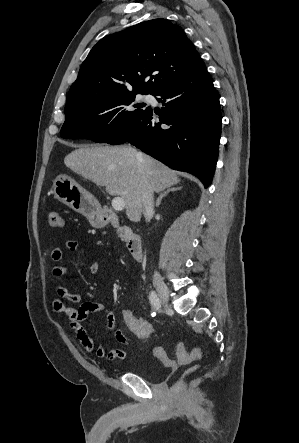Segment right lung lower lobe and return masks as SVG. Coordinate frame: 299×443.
<instances>
[{"label":"right lung lower lobe","instance_id":"obj_1","mask_svg":"<svg viewBox=\"0 0 299 443\" xmlns=\"http://www.w3.org/2000/svg\"><path fill=\"white\" fill-rule=\"evenodd\" d=\"M153 95L163 104L159 122L150 108L133 119L108 144L129 142L169 167L212 181L220 141L219 98L206 67L174 80Z\"/></svg>","mask_w":299,"mask_h":443}]
</instances>
